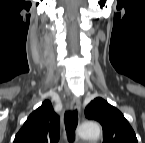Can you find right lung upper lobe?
I'll list each match as a JSON object with an SVG mask.
<instances>
[{
    "mask_svg": "<svg viewBox=\"0 0 145 143\" xmlns=\"http://www.w3.org/2000/svg\"><path fill=\"white\" fill-rule=\"evenodd\" d=\"M60 119L46 100L33 111L15 136L14 143H57Z\"/></svg>",
    "mask_w": 145,
    "mask_h": 143,
    "instance_id": "right-lung-upper-lobe-1",
    "label": "right lung upper lobe"
}]
</instances>
